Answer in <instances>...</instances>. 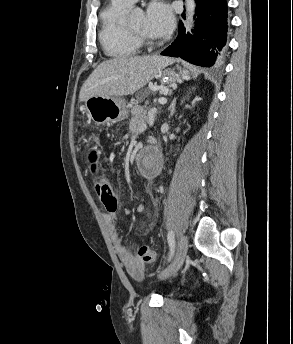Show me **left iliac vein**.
<instances>
[{
    "instance_id": "4c4485c4",
    "label": "left iliac vein",
    "mask_w": 293,
    "mask_h": 344,
    "mask_svg": "<svg viewBox=\"0 0 293 344\" xmlns=\"http://www.w3.org/2000/svg\"><path fill=\"white\" fill-rule=\"evenodd\" d=\"M188 250V239L182 236L177 244L176 254L172 263L159 274V279H167L173 276L182 266Z\"/></svg>"
}]
</instances>
